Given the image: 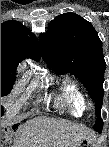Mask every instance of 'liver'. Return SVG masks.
Returning <instances> with one entry per match:
<instances>
[{
  "label": "liver",
  "instance_id": "1",
  "mask_svg": "<svg viewBox=\"0 0 109 147\" xmlns=\"http://www.w3.org/2000/svg\"><path fill=\"white\" fill-rule=\"evenodd\" d=\"M95 137V133L86 127L37 117L20 126L12 147H77L81 139L94 141Z\"/></svg>",
  "mask_w": 109,
  "mask_h": 147
}]
</instances>
